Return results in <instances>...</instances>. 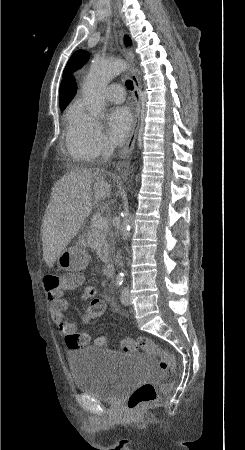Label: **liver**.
<instances>
[{"label": "liver", "mask_w": 245, "mask_h": 450, "mask_svg": "<svg viewBox=\"0 0 245 450\" xmlns=\"http://www.w3.org/2000/svg\"><path fill=\"white\" fill-rule=\"evenodd\" d=\"M110 192L111 185L99 170L75 169L54 184L41 226L43 257L49 268Z\"/></svg>", "instance_id": "obj_1"}]
</instances>
